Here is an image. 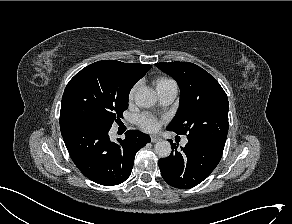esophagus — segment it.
<instances>
[{"label":"esophagus","instance_id":"esophagus-1","mask_svg":"<svg viewBox=\"0 0 292 224\" xmlns=\"http://www.w3.org/2000/svg\"><path fill=\"white\" fill-rule=\"evenodd\" d=\"M151 142L155 143L161 140V138L157 135L152 134L151 136Z\"/></svg>","mask_w":292,"mask_h":224}]
</instances>
